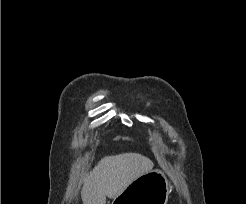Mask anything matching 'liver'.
I'll return each mask as SVG.
<instances>
[{"label":"liver","mask_w":246,"mask_h":204,"mask_svg":"<svg viewBox=\"0 0 246 204\" xmlns=\"http://www.w3.org/2000/svg\"><path fill=\"white\" fill-rule=\"evenodd\" d=\"M154 163L139 153H123L102 158L84 179L83 204H106L120 195L136 178L152 171Z\"/></svg>","instance_id":"liver-1"}]
</instances>
